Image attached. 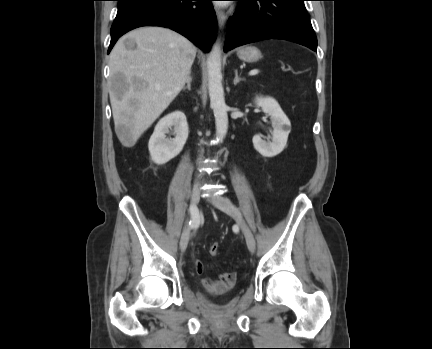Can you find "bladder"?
Here are the masks:
<instances>
[{"instance_id": "obj_1", "label": "bladder", "mask_w": 432, "mask_h": 349, "mask_svg": "<svg viewBox=\"0 0 432 349\" xmlns=\"http://www.w3.org/2000/svg\"><path fill=\"white\" fill-rule=\"evenodd\" d=\"M226 297H227V294L224 293V294H222V295H218V296H216L214 299H215L216 301H218V302L223 303V302H225Z\"/></svg>"}]
</instances>
